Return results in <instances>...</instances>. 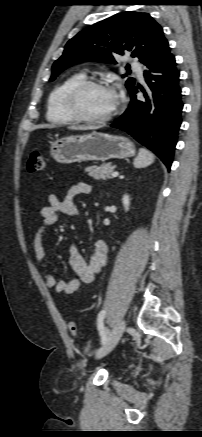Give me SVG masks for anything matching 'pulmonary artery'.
Listing matches in <instances>:
<instances>
[{"label":"pulmonary artery","instance_id":"1","mask_svg":"<svg viewBox=\"0 0 202 437\" xmlns=\"http://www.w3.org/2000/svg\"><path fill=\"white\" fill-rule=\"evenodd\" d=\"M131 66L136 71L138 77L142 78L143 77V72H142L140 64L137 61H132L131 62Z\"/></svg>","mask_w":202,"mask_h":437}]
</instances>
